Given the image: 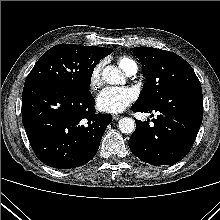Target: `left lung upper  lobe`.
<instances>
[{
    "mask_svg": "<svg viewBox=\"0 0 220 220\" xmlns=\"http://www.w3.org/2000/svg\"><path fill=\"white\" fill-rule=\"evenodd\" d=\"M147 78L135 104L150 106L163 97L192 86H201L192 67L179 55L153 48H131Z\"/></svg>",
    "mask_w": 220,
    "mask_h": 220,
    "instance_id": "obj_1",
    "label": "left lung upper lobe"
}]
</instances>
